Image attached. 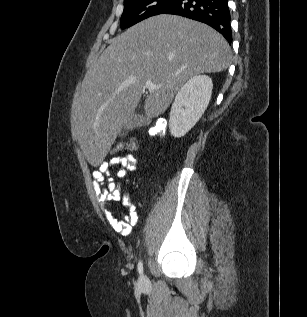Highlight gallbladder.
Instances as JSON below:
<instances>
[{"label": "gallbladder", "instance_id": "obj_1", "mask_svg": "<svg viewBox=\"0 0 307 317\" xmlns=\"http://www.w3.org/2000/svg\"><path fill=\"white\" fill-rule=\"evenodd\" d=\"M143 125V116L139 113H132L123 126V132L127 133L129 130Z\"/></svg>", "mask_w": 307, "mask_h": 317}]
</instances>
